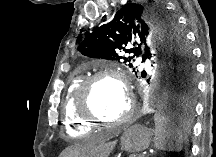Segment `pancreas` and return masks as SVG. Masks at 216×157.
I'll return each instance as SVG.
<instances>
[{
	"label": "pancreas",
	"mask_w": 216,
	"mask_h": 157,
	"mask_svg": "<svg viewBox=\"0 0 216 157\" xmlns=\"http://www.w3.org/2000/svg\"><path fill=\"white\" fill-rule=\"evenodd\" d=\"M132 157H137V155H133Z\"/></svg>",
	"instance_id": "pancreas-1"
}]
</instances>
